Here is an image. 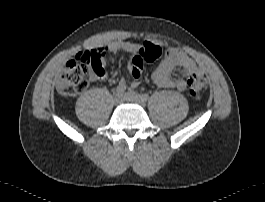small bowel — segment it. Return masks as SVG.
<instances>
[{
    "mask_svg": "<svg viewBox=\"0 0 265 202\" xmlns=\"http://www.w3.org/2000/svg\"><path fill=\"white\" fill-rule=\"evenodd\" d=\"M150 44L149 42H145L144 44H138L134 42L128 41H119L115 44L108 45L101 48V55L99 57V62L103 68L101 73L96 70H92L90 74V79L92 81L102 80L106 77L105 72V63L107 57L116 52L117 50H123L130 53L138 52L144 46ZM175 68H181L183 75L175 80L171 78V74ZM128 72L132 73V63L128 65ZM192 76H203V71L196 64V62L190 58L187 54L177 49H171L169 53V57L164 60L153 72L152 81L153 83L162 88H170L175 87L180 91H185L188 86L189 78ZM124 84L126 85V81L122 79L118 85ZM138 86V82L134 81L131 84L132 88Z\"/></svg>",
    "mask_w": 265,
    "mask_h": 202,
    "instance_id": "obj_1",
    "label": "small bowel"
}]
</instances>
